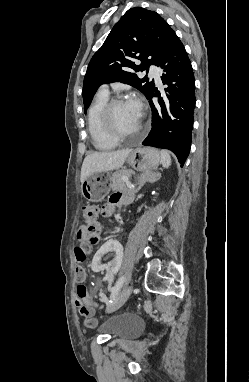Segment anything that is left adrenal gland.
Instances as JSON below:
<instances>
[{
	"instance_id": "left-adrenal-gland-1",
	"label": "left adrenal gland",
	"mask_w": 249,
	"mask_h": 382,
	"mask_svg": "<svg viewBox=\"0 0 249 382\" xmlns=\"http://www.w3.org/2000/svg\"><path fill=\"white\" fill-rule=\"evenodd\" d=\"M161 177L160 172L143 173L138 177V187L136 193L144 186L146 182H156Z\"/></svg>"
}]
</instances>
